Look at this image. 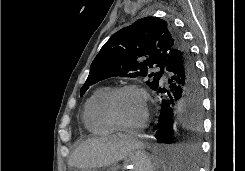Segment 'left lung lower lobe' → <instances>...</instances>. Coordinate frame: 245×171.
Masks as SVG:
<instances>
[{"instance_id": "1", "label": "left lung lower lobe", "mask_w": 245, "mask_h": 171, "mask_svg": "<svg viewBox=\"0 0 245 171\" xmlns=\"http://www.w3.org/2000/svg\"><path fill=\"white\" fill-rule=\"evenodd\" d=\"M164 72L167 88L156 91L165 93L158 122L154 128L158 143L174 145L175 162L180 167H196L199 142L194 137H180V126L197 129L202 112V93L199 75L188 45L182 44L167 59Z\"/></svg>"}]
</instances>
